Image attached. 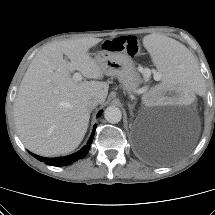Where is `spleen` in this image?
<instances>
[{"label":"spleen","instance_id":"obj_1","mask_svg":"<svg viewBox=\"0 0 215 215\" xmlns=\"http://www.w3.org/2000/svg\"><path fill=\"white\" fill-rule=\"evenodd\" d=\"M144 46L154 64L163 73L161 85H175L192 95L202 92L204 83L197 72L199 60L176 41L167 38L147 36Z\"/></svg>","mask_w":215,"mask_h":215}]
</instances>
